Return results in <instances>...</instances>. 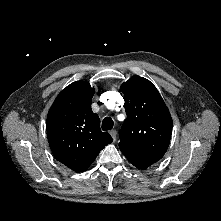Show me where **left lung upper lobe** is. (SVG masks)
<instances>
[{"label": "left lung upper lobe", "instance_id": "1", "mask_svg": "<svg viewBox=\"0 0 221 221\" xmlns=\"http://www.w3.org/2000/svg\"><path fill=\"white\" fill-rule=\"evenodd\" d=\"M127 118L120 130L119 148L131 164L146 169L160 160L170 143L172 118L156 87L133 76L121 86Z\"/></svg>", "mask_w": 221, "mask_h": 221}]
</instances>
